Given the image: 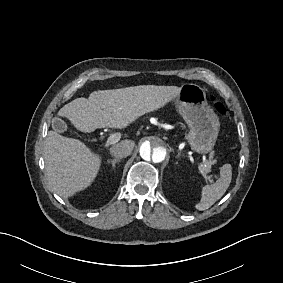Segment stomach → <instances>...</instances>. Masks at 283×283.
<instances>
[{
	"label": "stomach",
	"mask_w": 283,
	"mask_h": 283,
	"mask_svg": "<svg viewBox=\"0 0 283 283\" xmlns=\"http://www.w3.org/2000/svg\"><path fill=\"white\" fill-rule=\"evenodd\" d=\"M177 98L179 113L189 126L186 141L193 152L207 154L215 147L220 130L219 117L198 85L185 84Z\"/></svg>",
	"instance_id": "obj_1"
}]
</instances>
